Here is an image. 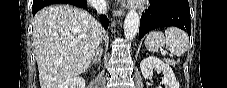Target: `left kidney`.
<instances>
[{"mask_svg": "<svg viewBox=\"0 0 227 88\" xmlns=\"http://www.w3.org/2000/svg\"><path fill=\"white\" fill-rule=\"evenodd\" d=\"M140 68L145 79L152 77L153 70L155 69L163 73L164 78L162 80V85H164L165 88H179V83L176 80L172 68L169 64L164 63L157 57L150 56L143 59L140 63ZM159 88L161 87L159 86Z\"/></svg>", "mask_w": 227, "mask_h": 88, "instance_id": "5707ae66", "label": "left kidney"}]
</instances>
